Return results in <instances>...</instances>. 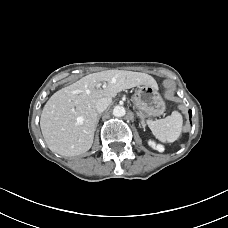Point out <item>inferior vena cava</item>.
<instances>
[{
	"label": "inferior vena cava",
	"mask_w": 228,
	"mask_h": 228,
	"mask_svg": "<svg viewBox=\"0 0 228 228\" xmlns=\"http://www.w3.org/2000/svg\"><path fill=\"white\" fill-rule=\"evenodd\" d=\"M111 102H112L111 98H101V99H99L97 101V103H96V106H95L96 111L98 113H102L103 111H105L108 108V106L111 104Z\"/></svg>",
	"instance_id": "602c4592"
}]
</instances>
